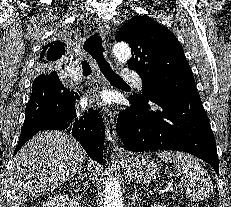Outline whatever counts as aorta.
Wrapping results in <instances>:
<instances>
[{"label": "aorta", "instance_id": "obj_1", "mask_svg": "<svg viewBox=\"0 0 231 207\" xmlns=\"http://www.w3.org/2000/svg\"><path fill=\"white\" fill-rule=\"evenodd\" d=\"M115 58L128 61L131 58V49L127 43H116L112 49ZM103 207H124L123 192L120 182L114 176H109L105 181Z\"/></svg>", "mask_w": 231, "mask_h": 207}]
</instances>
